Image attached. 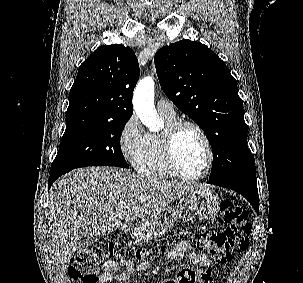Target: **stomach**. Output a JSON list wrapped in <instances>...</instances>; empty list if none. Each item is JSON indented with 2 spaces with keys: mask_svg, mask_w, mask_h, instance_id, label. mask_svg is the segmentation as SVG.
<instances>
[{
  "mask_svg": "<svg viewBox=\"0 0 303 283\" xmlns=\"http://www.w3.org/2000/svg\"><path fill=\"white\" fill-rule=\"evenodd\" d=\"M219 204V196L213 190L200 187L185 194L177 207H168L162 213L139 220L137 230L157 237L170 230L178 218L184 221H191L196 216L201 219L213 218L219 210Z\"/></svg>",
  "mask_w": 303,
  "mask_h": 283,
  "instance_id": "obj_1",
  "label": "stomach"
}]
</instances>
